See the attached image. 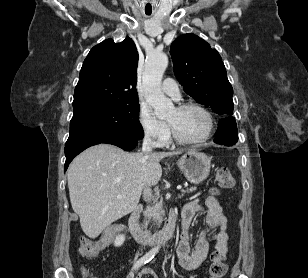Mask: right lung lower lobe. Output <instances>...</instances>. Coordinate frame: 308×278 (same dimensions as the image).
Returning a JSON list of instances; mask_svg holds the SVG:
<instances>
[{
  "instance_id": "obj_1",
  "label": "right lung lower lobe",
  "mask_w": 308,
  "mask_h": 278,
  "mask_svg": "<svg viewBox=\"0 0 308 278\" xmlns=\"http://www.w3.org/2000/svg\"><path fill=\"white\" fill-rule=\"evenodd\" d=\"M138 139L134 136L117 133H83L69 136L65 144L66 161L64 170H67L68 165L76 155L90 146L108 143L116 145L125 151H130L136 147Z\"/></svg>"
}]
</instances>
